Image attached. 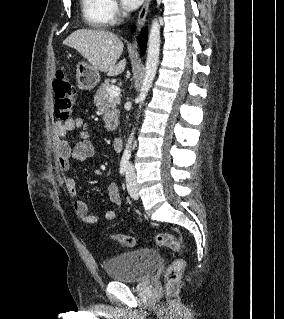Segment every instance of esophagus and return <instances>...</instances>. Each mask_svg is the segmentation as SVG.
<instances>
[{"mask_svg": "<svg viewBox=\"0 0 284 319\" xmlns=\"http://www.w3.org/2000/svg\"><path fill=\"white\" fill-rule=\"evenodd\" d=\"M151 0H145V3L143 5V7L141 8L138 18H137V31L139 32L141 30V28L144 26L145 21H146V17H147V13L149 10V5H150ZM138 48V44L136 39L133 40V43L130 46V49L132 50H136Z\"/></svg>", "mask_w": 284, "mask_h": 319, "instance_id": "1", "label": "esophagus"}]
</instances>
